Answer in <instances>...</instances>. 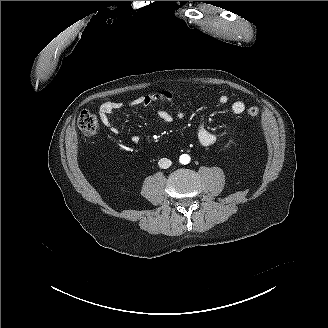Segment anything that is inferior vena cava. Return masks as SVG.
Returning <instances> with one entry per match:
<instances>
[{
  "label": "inferior vena cava",
  "instance_id": "602c4592",
  "mask_svg": "<svg viewBox=\"0 0 328 328\" xmlns=\"http://www.w3.org/2000/svg\"><path fill=\"white\" fill-rule=\"evenodd\" d=\"M158 164L160 168L167 169L171 166L172 162L167 158H162L159 160Z\"/></svg>",
  "mask_w": 328,
  "mask_h": 328
}]
</instances>
